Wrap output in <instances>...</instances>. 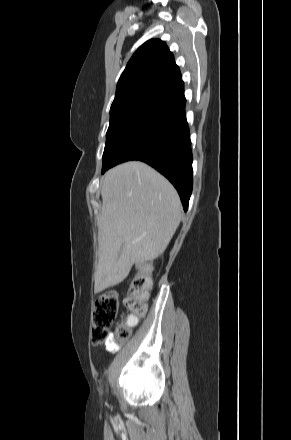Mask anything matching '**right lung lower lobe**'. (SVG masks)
I'll return each mask as SVG.
<instances>
[{
  "label": "right lung lower lobe",
  "mask_w": 291,
  "mask_h": 440,
  "mask_svg": "<svg viewBox=\"0 0 291 440\" xmlns=\"http://www.w3.org/2000/svg\"><path fill=\"white\" fill-rule=\"evenodd\" d=\"M185 104L183 81L156 97L118 148L108 169L129 160L149 164L174 185L187 211L193 187V158Z\"/></svg>",
  "instance_id": "right-lung-lower-lobe-1"
}]
</instances>
